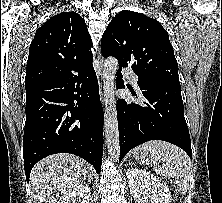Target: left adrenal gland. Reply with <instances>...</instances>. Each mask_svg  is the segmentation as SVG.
Listing matches in <instances>:
<instances>
[{"label": "left adrenal gland", "mask_w": 222, "mask_h": 203, "mask_svg": "<svg viewBox=\"0 0 222 203\" xmlns=\"http://www.w3.org/2000/svg\"><path fill=\"white\" fill-rule=\"evenodd\" d=\"M129 164H133L132 160H129Z\"/></svg>", "instance_id": "1"}]
</instances>
